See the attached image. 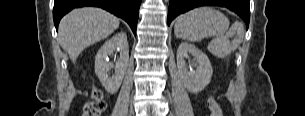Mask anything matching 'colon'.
<instances>
[{
    "label": "colon",
    "instance_id": "colon-1",
    "mask_svg": "<svg viewBox=\"0 0 305 116\" xmlns=\"http://www.w3.org/2000/svg\"><path fill=\"white\" fill-rule=\"evenodd\" d=\"M107 108L103 93L98 88H93L92 99L83 108L82 116H101ZM210 116H222V110L214 98L209 100Z\"/></svg>",
    "mask_w": 305,
    "mask_h": 116
}]
</instances>
